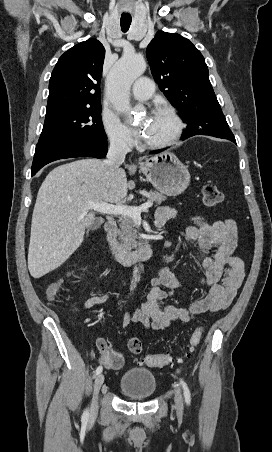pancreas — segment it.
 <instances>
[{"instance_id":"pancreas-1","label":"pancreas","mask_w":272,"mask_h":452,"mask_svg":"<svg viewBox=\"0 0 272 452\" xmlns=\"http://www.w3.org/2000/svg\"><path fill=\"white\" fill-rule=\"evenodd\" d=\"M167 199L163 194L150 191L147 195V202L155 203L156 205H160L163 201ZM142 199L141 201H144ZM120 240L121 246L125 249H137L142 246V239L139 236L138 228L133 220V218L129 216H122L120 219Z\"/></svg>"}]
</instances>
